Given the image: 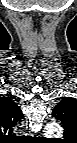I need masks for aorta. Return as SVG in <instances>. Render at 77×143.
Returning <instances> with one entry per match:
<instances>
[{
  "label": "aorta",
  "instance_id": "aorta-1",
  "mask_svg": "<svg viewBox=\"0 0 77 143\" xmlns=\"http://www.w3.org/2000/svg\"><path fill=\"white\" fill-rule=\"evenodd\" d=\"M62 127L58 122H50L45 127V135H53L55 133H61Z\"/></svg>",
  "mask_w": 77,
  "mask_h": 143
}]
</instances>
